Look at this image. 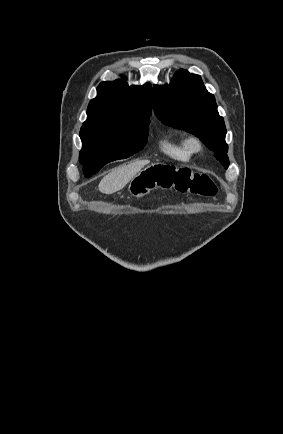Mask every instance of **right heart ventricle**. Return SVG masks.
Instances as JSON below:
<instances>
[{
  "instance_id": "right-heart-ventricle-1",
  "label": "right heart ventricle",
  "mask_w": 283,
  "mask_h": 434,
  "mask_svg": "<svg viewBox=\"0 0 283 434\" xmlns=\"http://www.w3.org/2000/svg\"><path fill=\"white\" fill-rule=\"evenodd\" d=\"M160 150L168 157L177 161L186 162L191 157V153L187 149L183 138L162 140L160 142Z\"/></svg>"
}]
</instances>
